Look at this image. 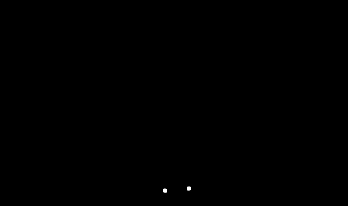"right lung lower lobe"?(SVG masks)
<instances>
[{
  "instance_id": "right-lung-lower-lobe-1",
  "label": "right lung lower lobe",
  "mask_w": 348,
  "mask_h": 206,
  "mask_svg": "<svg viewBox=\"0 0 348 206\" xmlns=\"http://www.w3.org/2000/svg\"><path fill=\"white\" fill-rule=\"evenodd\" d=\"M81 122L82 120H80V124ZM172 124L174 125L173 129L175 128L177 129L180 125L179 119H175V121ZM171 128L172 126L170 125L169 127L163 130V132L161 133V136L157 140L158 144L154 145L149 151L148 158H149L150 164L148 167L146 168L144 167L143 169H137L129 165L128 163L121 164L122 166H126V169L125 170L122 169L121 172L124 173V175H126L124 177L127 178L128 181H137V180L143 179L147 177L154 170L155 160L160 148L159 142L161 139H165L168 136V134L173 131V129ZM83 136L85 138L86 151L89 157H94L95 155H97L98 159H101L102 156L104 157L105 160L109 158V156H106V153H104V151L98 145H96L94 141H92L89 138L86 132L83 134ZM103 163L104 162H101V164H99L97 168L100 169L102 167V169H105L106 170L105 172L107 173L108 171H110L109 175H111L112 177H114L115 174H118V172H116L117 171L116 165L113 166L111 162H105L104 166H102Z\"/></svg>"
}]
</instances>
